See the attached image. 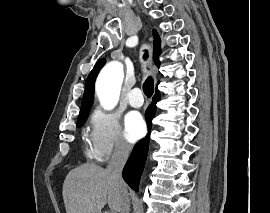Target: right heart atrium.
<instances>
[{
	"mask_svg": "<svg viewBox=\"0 0 270 213\" xmlns=\"http://www.w3.org/2000/svg\"><path fill=\"white\" fill-rule=\"evenodd\" d=\"M91 123L90 139L98 161L106 162L129 154L131 148L122 137L117 113L95 110Z\"/></svg>",
	"mask_w": 270,
	"mask_h": 213,
	"instance_id": "right-heart-atrium-1",
	"label": "right heart atrium"
}]
</instances>
